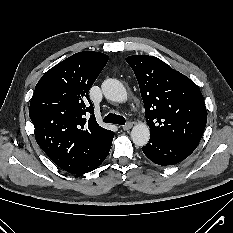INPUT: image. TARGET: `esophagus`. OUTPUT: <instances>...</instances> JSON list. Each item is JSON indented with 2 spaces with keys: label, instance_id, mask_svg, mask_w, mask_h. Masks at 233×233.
I'll list each match as a JSON object with an SVG mask.
<instances>
[{
  "label": "esophagus",
  "instance_id": "34e87169",
  "mask_svg": "<svg viewBox=\"0 0 233 233\" xmlns=\"http://www.w3.org/2000/svg\"><path fill=\"white\" fill-rule=\"evenodd\" d=\"M132 122H127L124 126H122L123 130L128 131L132 128Z\"/></svg>",
  "mask_w": 233,
  "mask_h": 233
}]
</instances>
